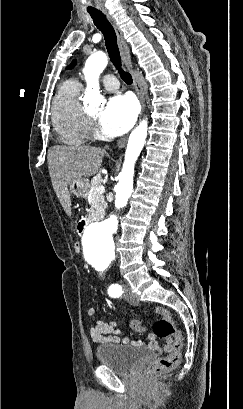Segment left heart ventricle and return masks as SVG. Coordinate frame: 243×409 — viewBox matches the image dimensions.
I'll return each mask as SVG.
<instances>
[{
  "instance_id": "left-heart-ventricle-1",
  "label": "left heart ventricle",
  "mask_w": 243,
  "mask_h": 409,
  "mask_svg": "<svg viewBox=\"0 0 243 409\" xmlns=\"http://www.w3.org/2000/svg\"><path fill=\"white\" fill-rule=\"evenodd\" d=\"M91 114H92L93 116H96V115L98 114V111H93V112H91Z\"/></svg>"
}]
</instances>
